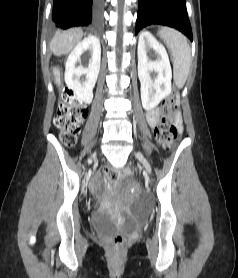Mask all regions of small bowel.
Here are the masks:
<instances>
[{
  "instance_id": "small-bowel-1",
  "label": "small bowel",
  "mask_w": 238,
  "mask_h": 278,
  "mask_svg": "<svg viewBox=\"0 0 238 278\" xmlns=\"http://www.w3.org/2000/svg\"><path fill=\"white\" fill-rule=\"evenodd\" d=\"M147 120L151 126H155L159 120V111L152 109L147 113Z\"/></svg>"
}]
</instances>
